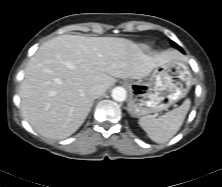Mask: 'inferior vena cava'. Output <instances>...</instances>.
Instances as JSON below:
<instances>
[{
  "label": "inferior vena cava",
  "instance_id": "inferior-vena-cava-1",
  "mask_svg": "<svg viewBox=\"0 0 222 187\" xmlns=\"http://www.w3.org/2000/svg\"><path fill=\"white\" fill-rule=\"evenodd\" d=\"M105 91H106V88L104 85L97 84V85L92 86L89 89V95L93 97L94 99H96L100 97L101 95H103Z\"/></svg>",
  "mask_w": 222,
  "mask_h": 187
}]
</instances>
